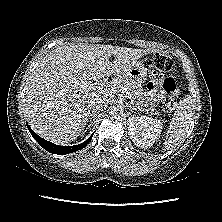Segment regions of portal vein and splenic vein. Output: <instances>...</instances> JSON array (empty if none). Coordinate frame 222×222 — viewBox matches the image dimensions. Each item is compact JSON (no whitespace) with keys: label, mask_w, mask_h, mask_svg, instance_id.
<instances>
[{"label":"portal vein and splenic vein","mask_w":222,"mask_h":222,"mask_svg":"<svg viewBox=\"0 0 222 222\" xmlns=\"http://www.w3.org/2000/svg\"><path fill=\"white\" fill-rule=\"evenodd\" d=\"M91 85H93V84L88 83V82H83V83L81 84L82 87H89V86H91ZM95 85H97V84H95ZM117 88H118V87H117ZM121 91H122V93H126L127 95H129V94H128V91H127L126 89H121Z\"/></svg>","instance_id":"portal-vein-and-splenic-vein-1"}]
</instances>
